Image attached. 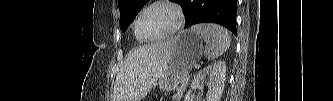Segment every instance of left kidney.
Listing matches in <instances>:
<instances>
[{"label":"left kidney","mask_w":333,"mask_h":101,"mask_svg":"<svg viewBox=\"0 0 333 101\" xmlns=\"http://www.w3.org/2000/svg\"><path fill=\"white\" fill-rule=\"evenodd\" d=\"M226 64L224 61H216L213 64L200 70L191 83V90L187 93L185 101H190L192 90L201 89L202 81L206 77H211L206 94V101H219L225 83Z\"/></svg>","instance_id":"left-kidney-1"}]
</instances>
